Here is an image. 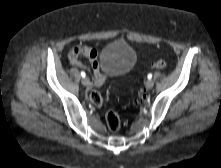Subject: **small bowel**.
Returning <instances> with one entry per match:
<instances>
[{"label":"small bowel","instance_id":"obj_1","mask_svg":"<svg viewBox=\"0 0 221 168\" xmlns=\"http://www.w3.org/2000/svg\"><path fill=\"white\" fill-rule=\"evenodd\" d=\"M81 57L88 59L92 67V84L102 86L106 81V75L100 71L99 56L95 49L78 44L69 53V61L74 66H83Z\"/></svg>","mask_w":221,"mask_h":168}]
</instances>
